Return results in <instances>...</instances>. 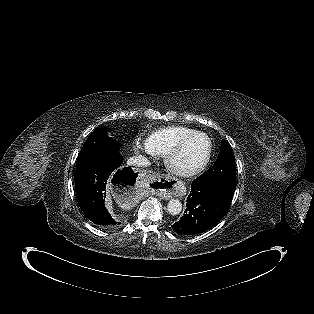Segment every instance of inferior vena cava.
Listing matches in <instances>:
<instances>
[{"instance_id":"1","label":"inferior vena cava","mask_w":314,"mask_h":314,"mask_svg":"<svg viewBox=\"0 0 314 314\" xmlns=\"http://www.w3.org/2000/svg\"><path fill=\"white\" fill-rule=\"evenodd\" d=\"M127 164L130 166H134V167H146V166L150 165V162L144 156L137 155V156H134V157H131L130 159H128Z\"/></svg>"}]
</instances>
